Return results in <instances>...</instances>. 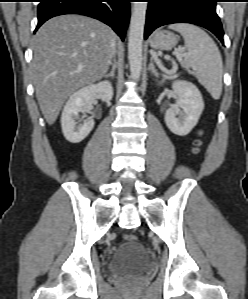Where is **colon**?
<instances>
[{"instance_id": "1", "label": "colon", "mask_w": 248, "mask_h": 299, "mask_svg": "<svg viewBox=\"0 0 248 299\" xmlns=\"http://www.w3.org/2000/svg\"><path fill=\"white\" fill-rule=\"evenodd\" d=\"M195 151H197V149H195ZM124 239L129 243H133L137 241V236L135 234L129 233L124 235Z\"/></svg>"}]
</instances>
